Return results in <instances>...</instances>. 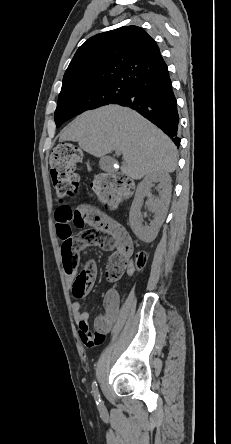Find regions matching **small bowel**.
Instances as JSON below:
<instances>
[{
  "label": "small bowel",
  "instance_id": "obj_1",
  "mask_svg": "<svg viewBox=\"0 0 231 444\" xmlns=\"http://www.w3.org/2000/svg\"><path fill=\"white\" fill-rule=\"evenodd\" d=\"M75 212L86 216L87 223L93 227L74 235L72 231L73 212L67 203L60 202L55 210V223L62 257L66 250H72L78 254L88 246H98L104 250L114 247L116 251H125L129 256L131 255L133 243L122 225L90 204L81 205ZM65 271L68 278L73 280L75 270L65 268ZM123 300L116 289L110 288L106 291L103 299L105 313L95 318L94 331L89 328L88 312L81 310L78 301L73 302L72 315L78 328L79 337L86 346H96L104 341L105 335L112 330L118 318Z\"/></svg>",
  "mask_w": 231,
  "mask_h": 444
}]
</instances>
